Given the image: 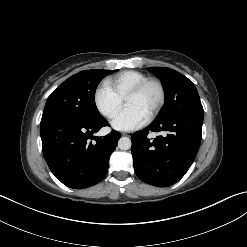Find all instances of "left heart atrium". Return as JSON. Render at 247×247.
Instances as JSON below:
<instances>
[{
	"mask_svg": "<svg viewBox=\"0 0 247 247\" xmlns=\"http://www.w3.org/2000/svg\"><path fill=\"white\" fill-rule=\"evenodd\" d=\"M148 116L140 109L130 106L124 108L112 121V127L120 131L135 130L143 126Z\"/></svg>",
	"mask_w": 247,
	"mask_h": 247,
	"instance_id": "39dd6f15",
	"label": "left heart atrium"
}]
</instances>
